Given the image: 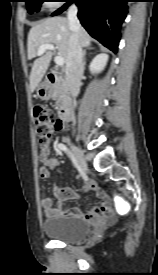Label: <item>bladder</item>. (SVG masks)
<instances>
[{"mask_svg": "<svg viewBox=\"0 0 158 275\" xmlns=\"http://www.w3.org/2000/svg\"><path fill=\"white\" fill-rule=\"evenodd\" d=\"M43 230L52 239L76 242L88 235L90 224L78 216L51 215L44 220Z\"/></svg>", "mask_w": 158, "mask_h": 275, "instance_id": "1", "label": "bladder"}]
</instances>
